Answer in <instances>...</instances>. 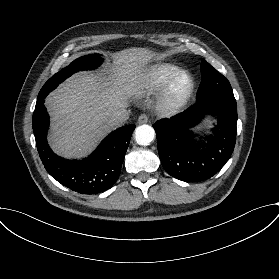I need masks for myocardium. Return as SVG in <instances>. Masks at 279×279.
I'll return each instance as SVG.
<instances>
[{
	"label": "myocardium",
	"mask_w": 279,
	"mask_h": 279,
	"mask_svg": "<svg viewBox=\"0 0 279 279\" xmlns=\"http://www.w3.org/2000/svg\"><path fill=\"white\" fill-rule=\"evenodd\" d=\"M182 76L187 77L188 87L183 93L178 94L175 91V86ZM194 90L195 81L192 75L185 71L179 72L171 78L161 90L158 100V110L166 116L177 114L188 103Z\"/></svg>",
	"instance_id": "1"
}]
</instances>
